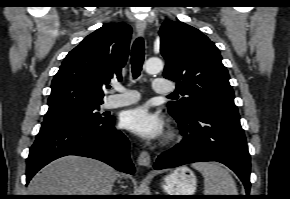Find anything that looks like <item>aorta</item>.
<instances>
[{
  "label": "aorta",
  "mask_w": 290,
  "mask_h": 199,
  "mask_svg": "<svg viewBox=\"0 0 290 199\" xmlns=\"http://www.w3.org/2000/svg\"><path fill=\"white\" fill-rule=\"evenodd\" d=\"M163 68V61L157 57L149 58L144 64V69L148 74H157L161 72Z\"/></svg>",
  "instance_id": "aorta-1"
}]
</instances>
